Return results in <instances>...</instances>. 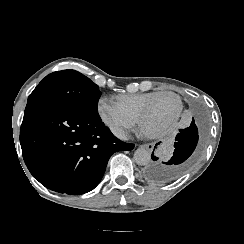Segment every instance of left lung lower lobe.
Returning <instances> with one entry per match:
<instances>
[{"label": "left lung lower lobe", "instance_id": "left-lung-lower-lobe-1", "mask_svg": "<svg viewBox=\"0 0 244 244\" xmlns=\"http://www.w3.org/2000/svg\"><path fill=\"white\" fill-rule=\"evenodd\" d=\"M174 153L168 161H157L152 153L154 162H149L143 169V176L152 182L166 183L183 175L192 165L198 143V129L194 119L190 127L181 129L175 138Z\"/></svg>", "mask_w": 244, "mask_h": 244}]
</instances>
